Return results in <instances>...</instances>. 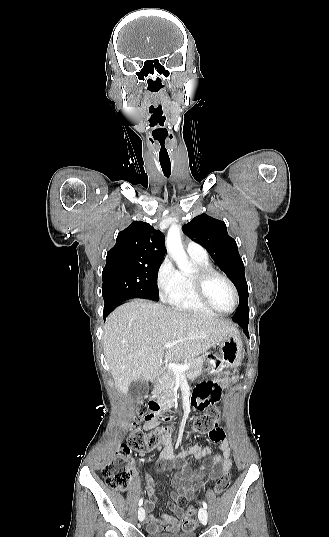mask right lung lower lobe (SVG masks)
<instances>
[{
	"label": "right lung lower lobe",
	"mask_w": 329,
	"mask_h": 537,
	"mask_svg": "<svg viewBox=\"0 0 329 537\" xmlns=\"http://www.w3.org/2000/svg\"><path fill=\"white\" fill-rule=\"evenodd\" d=\"M123 301H125V300H122V299H120L118 297H111L107 301H105L104 311H103L104 320L106 319L108 314L113 310V308H115L117 305L121 304Z\"/></svg>",
	"instance_id": "obj_1"
}]
</instances>
